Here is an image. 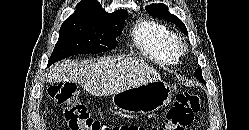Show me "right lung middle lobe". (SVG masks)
I'll use <instances>...</instances> for the list:
<instances>
[{
  "mask_svg": "<svg viewBox=\"0 0 249 130\" xmlns=\"http://www.w3.org/2000/svg\"><path fill=\"white\" fill-rule=\"evenodd\" d=\"M127 17L126 10L111 14L101 8L93 12H75L63 22L48 65L76 54H96L115 48L116 37Z\"/></svg>",
  "mask_w": 249,
  "mask_h": 130,
  "instance_id": "right-lung-middle-lobe-1",
  "label": "right lung middle lobe"
}]
</instances>
